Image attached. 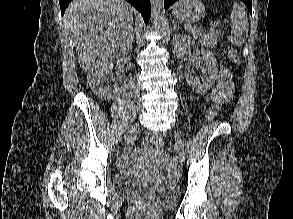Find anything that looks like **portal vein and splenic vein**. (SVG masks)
I'll list each match as a JSON object with an SVG mask.
<instances>
[{
  "instance_id": "obj_1",
  "label": "portal vein and splenic vein",
  "mask_w": 293,
  "mask_h": 219,
  "mask_svg": "<svg viewBox=\"0 0 293 219\" xmlns=\"http://www.w3.org/2000/svg\"><path fill=\"white\" fill-rule=\"evenodd\" d=\"M219 24H220L219 22H213V23H211V27H210V29H211V30H214L215 27L218 26Z\"/></svg>"
}]
</instances>
